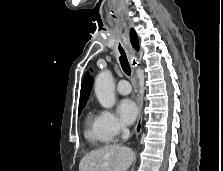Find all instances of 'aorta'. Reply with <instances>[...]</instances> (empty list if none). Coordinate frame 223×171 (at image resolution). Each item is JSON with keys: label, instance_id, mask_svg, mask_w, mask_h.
I'll return each mask as SVG.
<instances>
[{"label": "aorta", "instance_id": "1", "mask_svg": "<svg viewBox=\"0 0 223 171\" xmlns=\"http://www.w3.org/2000/svg\"><path fill=\"white\" fill-rule=\"evenodd\" d=\"M94 91L102 107L109 109L114 106V82L109 70L102 71L97 75Z\"/></svg>", "mask_w": 223, "mask_h": 171}]
</instances>
